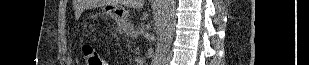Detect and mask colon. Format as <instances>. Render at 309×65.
<instances>
[{"instance_id": "5ec220e1", "label": "colon", "mask_w": 309, "mask_h": 65, "mask_svg": "<svg viewBox=\"0 0 309 65\" xmlns=\"http://www.w3.org/2000/svg\"><path fill=\"white\" fill-rule=\"evenodd\" d=\"M83 56L86 65H104L97 50L91 45L83 46Z\"/></svg>"}]
</instances>
